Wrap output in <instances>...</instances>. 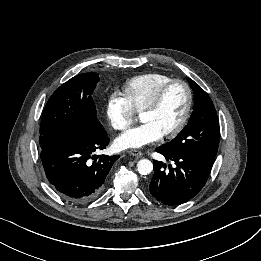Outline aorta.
<instances>
[{
  "instance_id": "762f6f07",
  "label": "aorta",
  "mask_w": 261,
  "mask_h": 261,
  "mask_svg": "<svg viewBox=\"0 0 261 261\" xmlns=\"http://www.w3.org/2000/svg\"><path fill=\"white\" fill-rule=\"evenodd\" d=\"M137 170L141 175H148L153 170V163L148 159H141L137 163Z\"/></svg>"
}]
</instances>
